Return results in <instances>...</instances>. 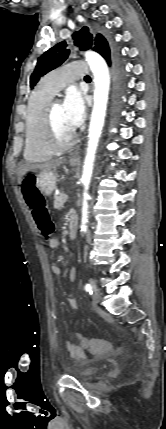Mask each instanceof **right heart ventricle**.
Masks as SVG:
<instances>
[{"label":"right heart ventricle","instance_id":"obj_1","mask_svg":"<svg viewBox=\"0 0 166 429\" xmlns=\"http://www.w3.org/2000/svg\"><path fill=\"white\" fill-rule=\"evenodd\" d=\"M53 94L36 88L29 97L25 113L24 158L29 162H44L50 159L53 152L43 143L42 118L45 106Z\"/></svg>","mask_w":166,"mask_h":429}]
</instances>
